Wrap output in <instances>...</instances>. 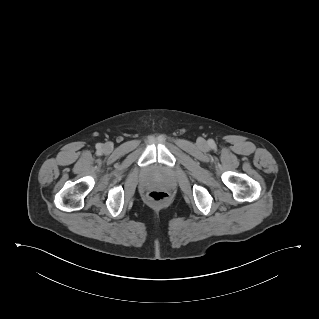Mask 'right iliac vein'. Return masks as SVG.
<instances>
[{
	"label": "right iliac vein",
	"mask_w": 319,
	"mask_h": 319,
	"mask_svg": "<svg viewBox=\"0 0 319 319\" xmlns=\"http://www.w3.org/2000/svg\"><path fill=\"white\" fill-rule=\"evenodd\" d=\"M104 150H105L106 152H109V151L111 150V146H110L109 144H106V145L104 146Z\"/></svg>",
	"instance_id": "obj_1"
}]
</instances>
